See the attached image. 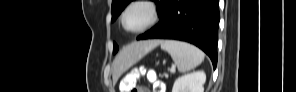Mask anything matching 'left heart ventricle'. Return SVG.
Returning a JSON list of instances; mask_svg holds the SVG:
<instances>
[{
	"label": "left heart ventricle",
	"mask_w": 296,
	"mask_h": 92,
	"mask_svg": "<svg viewBox=\"0 0 296 92\" xmlns=\"http://www.w3.org/2000/svg\"><path fill=\"white\" fill-rule=\"evenodd\" d=\"M150 18V13L143 6L132 7L125 17L126 27L128 29H138L144 26Z\"/></svg>",
	"instance_id": "left-heart-ventricle-1"
}]
</instances>
